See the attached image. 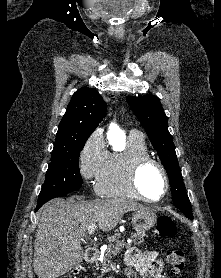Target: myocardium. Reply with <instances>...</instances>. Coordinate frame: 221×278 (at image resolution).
Segmentation results:
<instances>
[{"instance_id": "1", "label": "myocardium", "mask_w": 221, "mask_h": 278, "mask_svg": "<svg viewBox=\"0 0 221 278\" xmlns=\"http://www.w3.org/2000/svg\"><path fill=\"white\" fill-rule=\"evenodd\" d=\"M149 165L155 166L160 171V173L163 177V180H164V191H163L162 195L157 199H151L148 196H146L140 185V175H141L142 171ZM128 180H129V184H130V187H131L133 193L139 199H142V200H144L146 202H150V203H156V202L163 200L169 190V178H168V175H167V172H166L164 166L159 161H157L156 159L152 158L149 155L140 156V157L134 158L131 161V163L129 165V169H128Z\"/></svg>"}]
</instances>
